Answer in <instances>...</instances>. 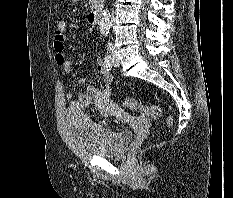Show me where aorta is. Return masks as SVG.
I'll return each instance as SVG.
<instances>
[{
	"label": "aorta",
	"instance_id": "aorta-1",
	"mask_svg": "<svg viewBox=\"0 0 233 198\" xmlns=\"http://www.w3.org/2000/svg\"><path fill=\"white\" fill-rule=\"evenodd\" d=\"M110 27H111V14L109 10L106 9L99 22L100 33L104 36H107L109 34Z\"/></svg>",
	"mask_w": 233,
	"mask_h": 198
}]
</instances>
